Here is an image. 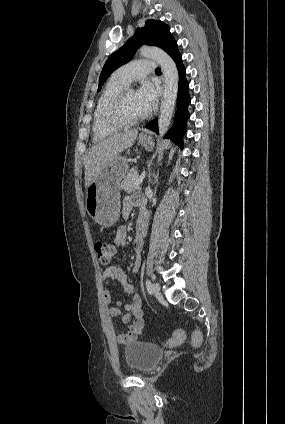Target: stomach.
<instances>
[{
  "label": "stomach",
  "mask_w": 285,
  "mask_h": 424,
  "mask_svg": "<svg viewBox=\"0 0 285 424\" xmlns=\"http://www.w3.org/2000/svg\"><path fill=\"white\" fill-rule=\"evenodd\" d=\"M138 141L148 150L154 147L151 136L140 135ZM127 173V158L118 156L107 163L99 175L86 187V211L102 227H111L119 219L120 182Z\"/></svg>",
  "instance_id": "stomach-1"
}]
</instances>
